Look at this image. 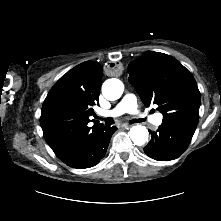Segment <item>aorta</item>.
Segmentation results:
<instances>
[{
  "label": "aorta",
  "instance_id": "1",
  "mask_svg": "<svg viewBox=\"0 0 221 221\" xmlns=\"http://www.w3.org/2000/svg\"><path fill=\"white\" fill-rule=\"evenodd\" d=\"M123 91V83L116 78L108 79L102 85L103 96L110 101L119 99ZM148 135L149 133L145 126L136 125L130 129V138L135 145L142 146L148 142Z\"/></svg>",
  "mask_w": 221,
  "mask_h": 221
}]
</instances>
